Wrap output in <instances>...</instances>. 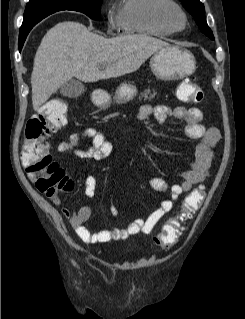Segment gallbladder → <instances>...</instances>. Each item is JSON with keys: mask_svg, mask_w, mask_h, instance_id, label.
<instances>
[{"mask_svg": "<svg viewBox=\"0 0 245 319\" xmlns=\"http://www.w3.org/2000/svg\"><path fill=\"white\" fill-rule=\"evenodd\" d=\"M59 90L60 93L65 97L77 98L84 93L85 87L80 81L76 79H70L62 84Z\"/></svg>", "mask_w": 245, "mask_h": 319, "instance_id": "obj_1", "label": "gallbladder"}]
</instances>
